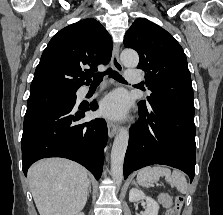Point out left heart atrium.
<instances>
[{
	"label": "left heart atrium",
	"mask_w": 223,
	"mask_h": 215,
	"mask_svg": "<svg viewBox=\"0 0 223 215\" xmlns=\"http://www.w3.org/2000/svg\"><path fill=\"white\" fill-rule=\"evenodd\" d=\"M128 106L127 96L121 91H116L102 101L101 111L106 116L119 118L125 115Z\"/></svg>",
	"instance_id": "1"
}]
</instances>
